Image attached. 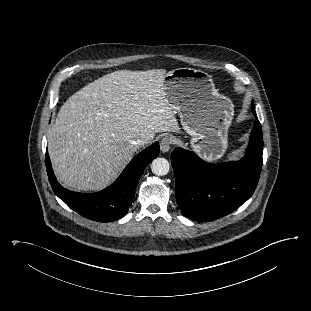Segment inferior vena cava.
I'll list each match as a JSON object with an SVG mask.
<instances>
[{
    "mask_svg": "<svg viewBox=\"0 0 311 311\" xmlns=\"http://www.w3.org/2000/svg\"><path fill=\"white\" fill-rule=\"evenodd\" d=\"M147 140L148 138L146 137H140V138L131 140V144L134 146H139V145H143L144 143H146Z\"/></svg>",
    "mask_w": 311,
    "mask_h": 311,
    "instance_id": "1",
    "label": "inferior vena cava"
}]
</instances>
